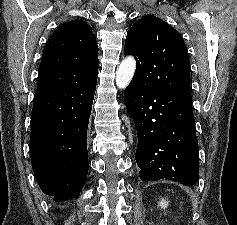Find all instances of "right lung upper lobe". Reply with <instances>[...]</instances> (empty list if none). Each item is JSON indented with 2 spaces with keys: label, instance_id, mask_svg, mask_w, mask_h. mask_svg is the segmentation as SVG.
Wrapping results in <instances>:
<instances>
[{
  "label": "right lung upper lobe",
  "instance_id": "obj_1",
  "mask_svg": "<svg viewBox=\"0 0 237 225\" xmlns=\"http://www.w3.org/2000/svg\"><path fill=\"white\" fill-rule=\"evenodd\" d=\"M96 37L84 21L59 26L42 54L34 97L62 94L97 79Z\"/></svg>",
  "mask_w": 237,
  "mask_h": 225
}]
</instances>
